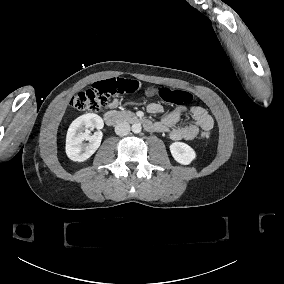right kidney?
Returning a JSON list of instances; mask_svg holds the SVG:
<instances>
[{
	"label": "right kidney",
	"mask_w": 284,
	"mask_h": 284,
	"mask_svg": "<svg viewBox=\"0 0 284 284\" xmlns=\"http://www.w3.org/2000/svg\"><path fill=\"white\" fill-rule=\"evenodd\" d=\"M103 126V119L94 113L84 114L75 119L69 126L66 136V154L69 159L82 162L94 154L101 144L102 132L90 135L83 131L89 127L100 130ZM85 140L89 143H83Z\"/></svg>",
	"instance_id": "right-kidney-1"
}]
</instances>
